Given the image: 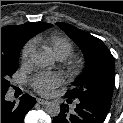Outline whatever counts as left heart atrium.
<instances>
[{
	"label": "left heart atrium",
	"instance_id": "1",
	"mask_svg": "<svg viewBox=\"0 0 123 123\" xmlns=\"http://www.w3.org/2000/svg\"><path fill=\"white\" fill-rule=\"evenodd\" d=\"M62 81V76L58 73H39L32 78L31 85L40 95L48 96Z\"/></svg>",
	"mask_w": 123,
	"mask_h": 123
}]
</instances>
